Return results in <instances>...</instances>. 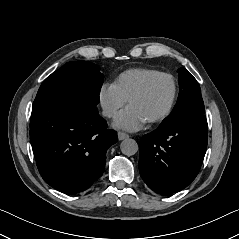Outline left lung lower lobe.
Masks as SVG:
<instances>
[{
	"instance_id": "obj_1",
	"label": "left lung lower lobe",
	"mask_w": 239,
	"mask_h": 239,
	"mask_svg": "<svg viewBox=\"0 0 239 239\" xmlns=\"http://www.w3.org/2000/svg\"><path fill=\"white\" fill-rule=\"evenodd\" d=\"M204 114H188L141 139L139 171L156 193L178 192L197 176L207 148Z\"/></svg>"
}]
</instances>
